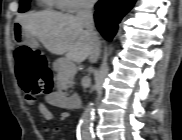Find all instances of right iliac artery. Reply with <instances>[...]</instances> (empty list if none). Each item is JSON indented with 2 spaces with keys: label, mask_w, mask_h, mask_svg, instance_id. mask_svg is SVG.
<instances>
[{
  "label": "right iliac artery",
  "mask_w": 182,
  "mask_h": 140,
  "mask_svg": "<svg viewBox=\"0 0 182 140\" xmlns=\"http://www.w3.org/2000/svg\"><path fill=\"white\" fill-rule=\"evenodd\" d=\"M94 137L92 136V137H90V138H87L86 140H91V139H93Z\"/></svg>",
  "instance_id": "right-iliac-artery-1"
}]
</instances>
